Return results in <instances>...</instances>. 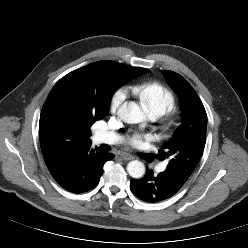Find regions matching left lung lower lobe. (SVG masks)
<instances>
[{
  "instance_id": "left-lung-lower-lobe-1",
  "label": "left lung lower lobe",
  "mask_w": 248,
  "mask_h": 248,
  "mask_svg": "<svg viewBox=\"0 0 248 248\" xmlns=\"http://www.w3.org/2000/svg\"><path fill=\"white\" fill-rule=\"evenodd\" d=\"M179 187L167 172H161L157 176L146 170L141 179H131L130 189L132 193L142 201L156 203L175 195Z\"/></svg>"
}]
</instances>
